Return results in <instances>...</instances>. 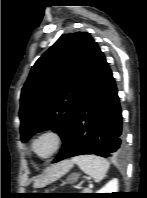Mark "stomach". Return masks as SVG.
<instances>
[{"label": "stomach", "instance_id": "obj_1", "mask_svg": "<svg viewBox=\"0 0 147 198\" xmlns=\"http://www.w3.org/2000/svg\"><path fill=\"white\" fill-rule=\"evenodd\" d=\"M79 178V174L77 173H73L71 174L68 178H67V181L66 183H73V182H76Z\"/></svg>", "mask_w": 147, "mask_h": 198}]
</instances>
